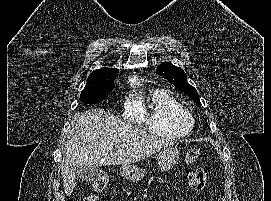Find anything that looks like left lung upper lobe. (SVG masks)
Returning a JSON list of instances; mask_svg holds the SVG:
<instances>
[{
	"instance_id": "left-lung-upper-lobe-1",
	"label": "left lung upper lobe",
	"mask_w": 271,
	"mask_h": 201,
	"mask_svg": "<svg viewBox=\"0 0 271 201\" xmlns=\"http://www.w3.org/2000/svg\"><path fill=\"white\" fill-rule=\"evenodd\" d=\"M156 73L173 83L177 89L188 95L196 104L201 105L196 89L187 82V76L181 68L171 62H165L158 66Z\"/></svg>"
}]
</instances>
